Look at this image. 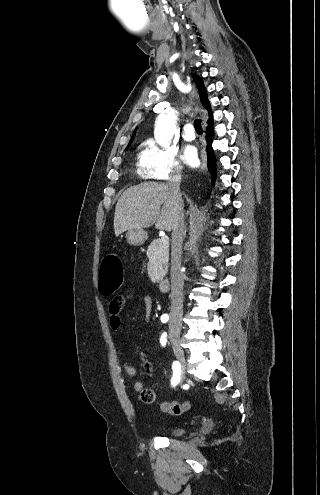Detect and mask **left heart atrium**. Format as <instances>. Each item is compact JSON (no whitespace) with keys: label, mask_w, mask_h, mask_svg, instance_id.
<instances>
[{"label":"left heart atrium","mask_w":320,"mask_h":495,"mask_svg":"<svg viewBox=\"0 0 320 495\" xmlns=\"http://www.w3.org/2000/svg\"><path fill=\"white\" fill-rule=\"evenodd\" d=\"M182 160L190 165V166H195L198 162V156H197V150L193 146H187L184 148L182 155H181Z\"/></svg>","instance_id":"39dd6f15"}]
</instances>
